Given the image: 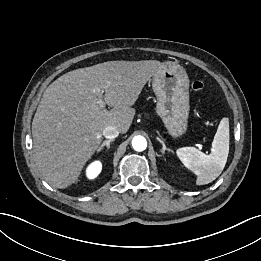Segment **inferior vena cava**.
Wrapping results in <instances>:
<instances>
[{"instance_id": "602c4592", "label": "inferior vena cava", "mask_w": 261, "mask_h": 261, "mask_svg": "<svg viewBox=\"0 0 261 261\" xmlns=\"http://www.w3.org/2000/svg\"><path fill=\"white\" fill-rule=\"evenodd\" d=\"M119 135V130L114 126H107L103 131V136L107 139L113 140Z\"/></svg>"}]
</instances>
